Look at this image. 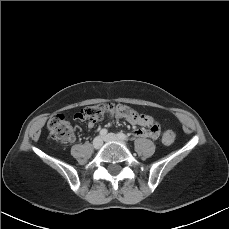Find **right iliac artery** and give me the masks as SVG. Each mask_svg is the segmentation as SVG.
Instances as JSON below:
<instances>
[{"label": "right iliac artery", "mask_w": 229, "mask_h": 229, "mask_svg": "<svg viewBox=\"0 0 229 229\" xmlns=\"http://www.w3.org/2000/svg\"><path fill=\"white\" fill-rule=\"evenodd\" d=\"M107 132L108 131L106 129H102V130H100V135L105 136L107 134Z\"/></svg>", "instance_id": "82829eb1"}]
</instances>
